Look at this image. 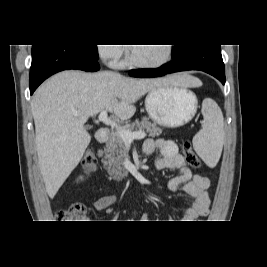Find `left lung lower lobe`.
<instances>
[{
  "label": "left lung lower lobe",
  "instance_id": "0a47b994",
  "mask_svg": "<svg viewBox=\"0 0 267 267\" xmlns=\"http://www.w3.org/2000/svg\"><path fill=\"white\" fill-rule=\"evenodd\" d=\"M173 61L153 69H133L129 72L132 77H159L166 74L200 70L213 75L223 85L225 70L220 45H189L186 48L172 52Z\"/></svg>",
  "mask_w": 267,
  "mask_h": 267
}]
</instances>
